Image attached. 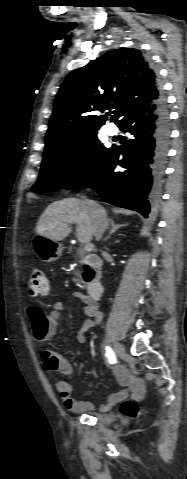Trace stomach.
Wrapping results in <instances>:
<instances>
[{
	"instance_id": "1",
	"label": "stomach",
	"mask_w": 187,
	"mask_h": 479,
	"mask_svg": "<svg viewBox=\"0 0 187 479\" xmlns=\"http://www.w3.org/2000/svg\"><path fill=\"white\" fill-rule=\"evenodd\" d=\"M35 254L44 262H51L59 259L62 255V246L57 241L37 234L32 240Z\"/></svg>"
}]
</instances>
